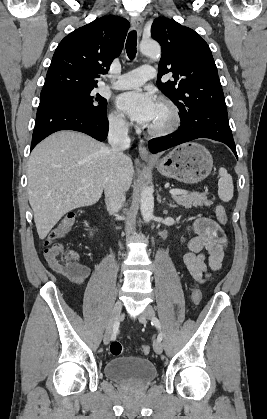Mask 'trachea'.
Wrapping results in <instances>:
<instances>
[{"label":"trachea","mask_w":267,"mask_h":419,"mask_svg":"<svg viewBox=\"0 0 267 419\" xmlns=\"http://www.w3.org/2000/svg\"><path fill=\"white\" fill-rule=\"evenodd\" d=\"M136 46H137V32L131 31L128 34L126 41V52L130 60H133L136 55Z\"/></svg>","instance_id":"3493384b"}]
</instances>
